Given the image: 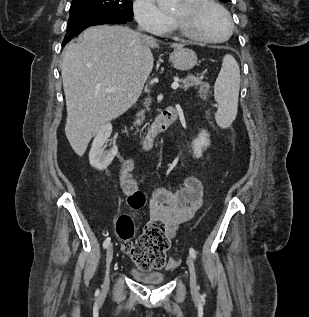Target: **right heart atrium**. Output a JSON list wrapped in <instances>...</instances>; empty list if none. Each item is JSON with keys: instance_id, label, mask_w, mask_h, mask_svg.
<instances>
[{"instance_id": "d8ad5b80", "label": "right heart atrium", "mask_w": 309, "mask_h": 317, "mask_svg": "<svg viewBox=\"0 0 309 317\" xmlns=\"http://www.w3.org/2000/svg\"><path fill=\"white\" fill-rule=\"evenodd\" d=\"M133 14L140 28L151 34H160L172 24L171 18L161 10L156 0H134Z\"/></svg>"}]
</instances>
